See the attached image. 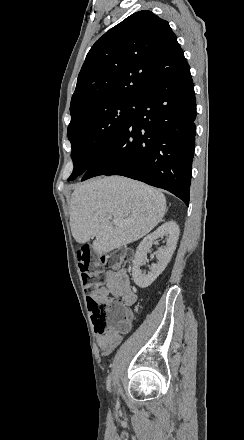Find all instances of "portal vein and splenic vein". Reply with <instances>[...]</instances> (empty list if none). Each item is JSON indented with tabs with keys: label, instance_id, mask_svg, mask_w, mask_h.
I'll use <instances>...</instances> for the list:
<instances>
[{
	"label": "portal vein and splenic vein",
	"instance_id": "portal-vein-and-splenic-vein-1",
	"mask_svg": "<svg viewBox=\"0 0 244 440\" xmlns=\"http://www.w3.org/2000/svg\"><path fill=\"white\" fill-rule=\"evenodd\" d=\"M108 220H112L114 226H123L125 222H128V220H122V218H112V216H109Z\"/></svg>",
	"mask_w": 244,
	"mask_h": 440
}]
</instances>
